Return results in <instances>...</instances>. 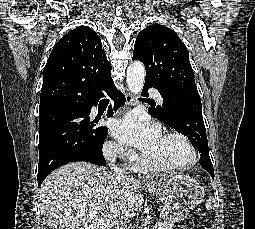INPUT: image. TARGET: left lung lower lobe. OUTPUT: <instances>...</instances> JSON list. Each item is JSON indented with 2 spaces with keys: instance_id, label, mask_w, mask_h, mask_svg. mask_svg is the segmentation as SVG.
Returning <instances> with one entry per match:
<instances>
[{
  "instance_id": "obj_1",
  "label": "left lung lower lobe",
  "mask_w": 255,
  "mask_h": 229,
  "mask_svg": "<svg viewBox=\"0 0 255 229\" xmlns=\"http://www.w3.org/2000/svg\"><path fill=\"white\" fill-rule=\"evenodd\" d=\"M153 87L145 84L142 95L148 97L147 89ZM155 88V87H154ZM163 98V103H169L171 109L169 110L171 120L175 125H181V129L196 133V135H206V129L202 117L201 100L198 99H182L177 98L175 94L170 91L158 90ZM149 113L152 115L151 109ZM190 123L183 125L184 123ZM201 153L200 165L214 178V169L209 156V150H203Z\"/></svg>"
}]
</instances>
